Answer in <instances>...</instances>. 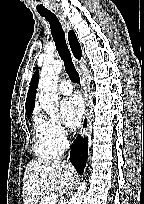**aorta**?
<instances>
[{
	"label": "aorta",
	"instance_id": "1",
	"mask_svg": "<svg viewBox=\"0 0 144 204\" xmlns=\"http://www.w3.org/2000/svg\"><path fill=\"white\" fill-rule=\"evenodd\" d=\"M62 67L63 62L60 60L47 61L40 73L39 102L51 118H56L58 111L57 82ZM86 188V182H81L69 204H82Z\"/></svg>",
	"mask_w": 144,
	"mask_h": 204
}]
</instances>
